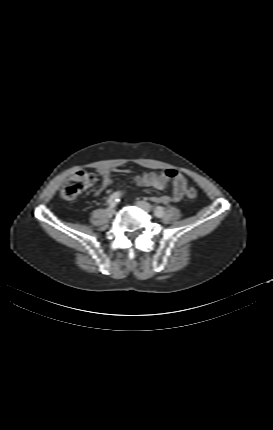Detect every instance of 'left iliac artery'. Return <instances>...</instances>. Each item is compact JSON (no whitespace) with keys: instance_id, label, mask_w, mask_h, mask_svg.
Masks as SVG:
<instances>
[{"instance_id":"left-iliac-artery-1","label":"left iliac artery","mask_w":273,"mask_h":430,"mask_svg":"<svg viewBox=\"0 0 273 430\" xmlns=\"http://www.w3.org/2000/svg\"><path fill=\"white\" fill-rule=\"evenodd\" d=\"M154 214L156 217L161 218L164 215V209L163 207H157L154 210Z\"/></svg>"}]
</instances>
